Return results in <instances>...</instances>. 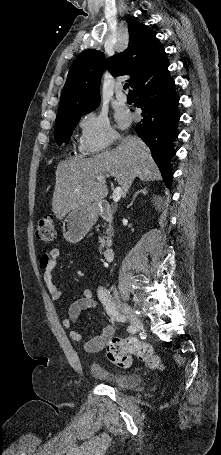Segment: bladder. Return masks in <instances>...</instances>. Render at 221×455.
Segmentation results:
<instances>
[{
  "label": "bladder",
  "instance_id": "31cf9c89",
  "mask_svg": "<svg viewBox=\"0 0 221 455\" xmlns=\"http://www.w3.org/2000/svg\"><path fill=\"white\" fill-rule=\"evenodd\" d=\"M89 371L92 376L122 390L133 389L141 384L140 375L118 372L97 362L89 364Z\"/></svg>",
  "mask_w": 221,
  "mask_h": 455
}]
</instances>
